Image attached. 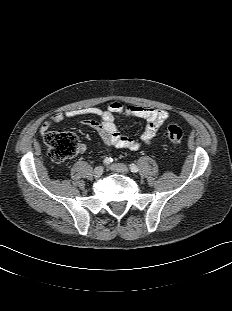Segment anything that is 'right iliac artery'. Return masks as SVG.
Masks as SVG:
<instances>
[{"label":"right iliac artery","mask_w":232,"mask_h":311,"mask_svg":"<svg viewBox=\"0 0 232 311\" xmlns=\"http://www.w3.org/2000/svg\"><path fill=\"white\" fill-rule=\"evenodd\" d=\"M112 161H113V159H112L111 157H106V158L103 160V163H104L105 165H109V164L112 163Z\"/></svg>","instance_id":"1"}]
</instances>
